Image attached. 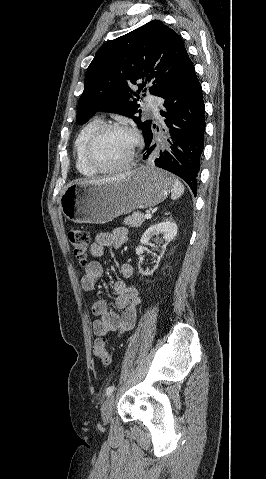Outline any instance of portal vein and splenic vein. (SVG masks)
<instances>
[{
	"mask_svg": "<svg viewBox=\"0 0 266 479\" xmlns=\"http://www.w3.org/2000/svg\"><path fill=\"white\" fill-rule=\"evenodd\" d=\"M144 218H145V219H151V218H152V215H151V214H145V215H144Z\"/></svg>",
	"mask_w": 266,
	"mask_h": 479,
	"instance_id": "portal-vein-and-splenic-vein-1",
	"label": "portal vein and splenic vein"
}]
</instances>
